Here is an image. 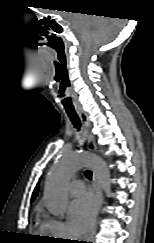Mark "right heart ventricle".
<instances>
[{"label":"right heart ventricle","instance_id":"right-heart-ventricle-1","mask_svg":"<svg viewBox=\"0 0 154 243\" xmlns=\"http://www.w3.org/2000/svg\"><path fill=\"white\" fill-rule=\"evenodd\" d=\"M40 214H41L40 209H37V217H38V219H40ZM39 232H40L41 234H43V235L50 236V233L48 232V229H47V227H46V221H45V220H41V221H40Z\"/></svg>","mask_w":154,"mask_h":243}]
</instances>
